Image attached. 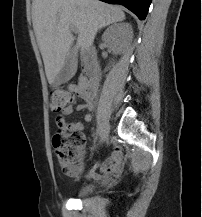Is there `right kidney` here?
I'll use <instances>...</instances> for the list:
<instances>
[{
    "mask_svg": "<svg viewBox=\"0 0 202 217\" xmlns=\"http://www.w3.org/2000/svg\"><path fill=\"white\" fill-rule=\"evenodd\" d=\"M132 38V27L128 23L113 24L102 35V40L110 45L115 54L124 52Z\"/></svg>",
    "mask_w": 202,
    "mask_h": 217,
    "instance_id": "obj_1",
    "label": "right kidney"
}]
</instances>
